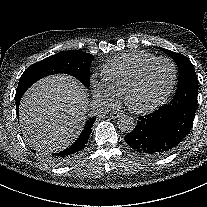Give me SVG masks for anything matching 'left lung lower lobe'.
I'll use <instances>...</instances> for the list:
<instances>
[{
  "instance_id": "0a47b994",
  "label": "left lung lower lobe",
  "mask_w": 207,
  "mask_h": 207,
  "mask_svg": "<svg viewBox=\"0 0 207 207\" xmlns=\"http://www.w3.org/2000/svg\"><path fill=\"white\" fill-rule=\"evenodd\" d=\"M196 109L176 102L139 117L135 129L125 136L126 143L149 157L164 156L189 133Z\"/></svg>"
}]
</instances>
